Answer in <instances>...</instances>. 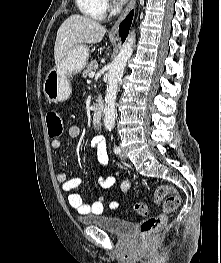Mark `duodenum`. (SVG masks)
I'll return each instance as SVG.
<instances>
[{
  "instance_id": "1",
  "label": "duodenum",
  "mask_w": 221,
  "mask_h": 263,
  "mask_svg": "<svg viewBox=\"0 0 221 263\" xmlns=\"http://www.w3.org/2000/svg\"><path fill=\"white\" fill-rule=\"evenodd\" d=\"M102 110H103V104L101 99L98 98L96 111L93 116V126L98 131L102 129Z\"/></svg>"
}]
</instances>
